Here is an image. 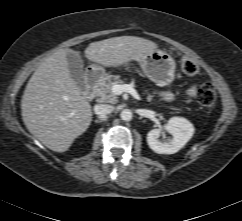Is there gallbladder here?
<instances>
[{"mask_svg":"<svg viewBox=\"0 0 242 221\" xmlns=\"http://www.w3.org/2000/svg\"><path fill=\"white\" fill-rule=\"evenodd\" d=\"M67 61L72 79L76 82L79 89L84 91L86 89V83L84 80L83 61L80 55L75 52H68Z\"/></svg>","mask_w":242,"mask_h":221,"instance_id":"bac80fb5","label":"gallbladder"}]
</instances>
